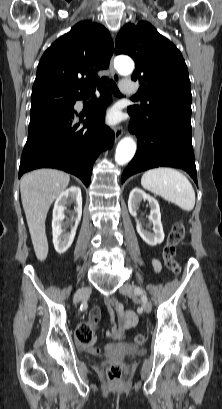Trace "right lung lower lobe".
I'll list each match as a JSON object with an SVG mask.
<instances>
[{"label": "right lung lower lobe", "mask_w": 222, "mask_h": 409, "mask_svg": "<svg viewBox=\"0 0 222 409\" xmlns=\"http://www.w3.org/2000/svg\"><path fill=\"white\" fill-rule=\"evenodd\" d=\"M98 89L101 96L94 99L84 121L77 120L75 102L54 105L31 117L19 178L33 169L56 168L76 175L89 186L94 161L114 142L113 131L104 124V109L111 102L107 82Z\"/></svg>", "instance_id": "right-lung-lower-lobe-1"}]
</instances>
